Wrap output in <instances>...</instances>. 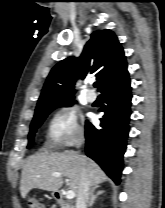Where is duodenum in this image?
Returning <instances> with one entry per match:
<instances>
[{"label": "duodenum", "instance_id": "obj_1", "mask_svg": "<svg viewBox=\"0 0 165 208\" xmlns=\"http://www.w3.org/2000/svg\"><path fill=\"white\" fill-rule=\"evenodd\" d=\"M54 197L61 205H66V200L63 194H61L60 192H55Z\"/></svg>", "mask_w": 165, "mask_h": 208}]
</instances>
